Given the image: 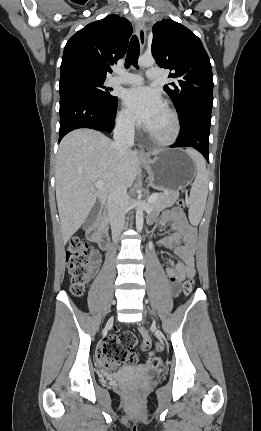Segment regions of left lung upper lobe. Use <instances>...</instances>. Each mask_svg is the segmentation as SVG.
<instances>
[{
	"label": "left lung upper lobe",
	"instance_id": "1",
	"mask_svg": "<svg viewBox=\"0 0 261 431\" xmlns=\"http://www.w3.org/2000/svg\"><path fill=\"white\" fill-rule=\"evenodd\" d=\"M152 54L161 68L172 71L175 83L164 86L179 116L200 106H213V75L201 40L188 28L170 20L152 28Z\"/></svg>",
	"mask_w": 261,
	"mask_h": 431
}]
</instances>
